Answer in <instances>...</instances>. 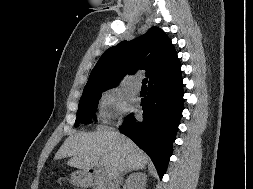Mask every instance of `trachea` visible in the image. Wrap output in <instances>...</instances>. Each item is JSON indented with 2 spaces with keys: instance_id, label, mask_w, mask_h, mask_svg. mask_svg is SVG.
<instances>
[{
  "instance_id": "3493384b",
  "label": "trachea",
  "mask_w": 253,
  "mask_h": 189,
  "mask_svg": "<svg viewBox=\"0 0 253 189\" xmlns=\"http://www.w3.org/2000/svg\"><path fill=\"white\" fill-rule=\"evenodd\" d=\"M147 82H148V79H147V78H144V79L142 80V87H143V88H146Z\"/></svg>"
}]
</instances>
